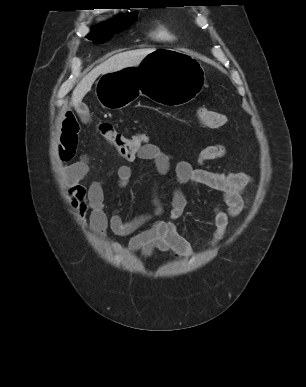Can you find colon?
<instances>
[{"mask_svg": "<svg viewBox=\"0 0 306 387\" xmlns=\"http://www.w3.org/2000/svg\"><path fill=\"white\" fill-rule=\"evenodd\" d=\"M197 118L203 127L210 129L221 128L227 123L225 114L206 107L197 109ZM98 132L122 158L132 156L148 142L147 136L143 133L126 136L107 122L98 124Z\"/></svg>", "mask_w": 306, "mask_h": 387, "instance_id": "colon-1", "label": "colon"}]
</instances>
